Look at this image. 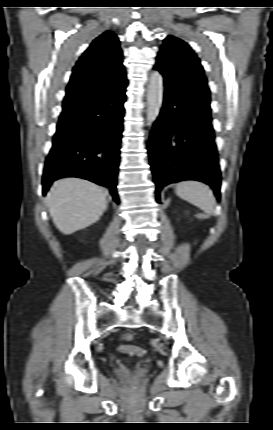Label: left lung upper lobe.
I'll list each match as a JSON object with an SVG mask.
<instances>
[{
    "label": "left lung upper lobe",
    "instance_id": "1",
    "mask_svg": "<svg viewBox=\"0 0 273 430\" xmlns=\"http://www.w3.org/2000/svg\"><path fill=\"white\" fill-rule=\"evenodd\" d=\"M154 69L164 82L172 85L175 95L211 116L210 91L203 67L187 43L167 36L158 53Z\"/></svg>",
    "mask_w": 273,
    "mask_h": 430
}]
</instances>
